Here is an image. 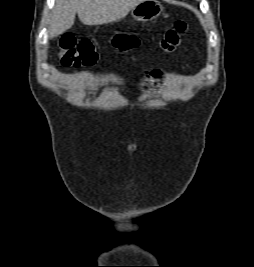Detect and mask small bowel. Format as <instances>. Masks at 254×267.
I'll return each instance as SVG.
<instances>
[{
	"mask_svg": "<svg viewBox=\"0 0 254 267\" xmlns=\"http://www.w3.org/2000/svg\"><path fill=\"white\" fill-rule=\"evenodd\" d=\"M164 78V73L160 70H151L145 73V78L140 87V92L144 93L152 88V83L156 84L162 81Z\"/></svg>",
	"mask_w": 254,
	"mask_h": 267,
	"instance_id": "small-bowel-1",
	"label": "small bowel"
}]
</instances>
